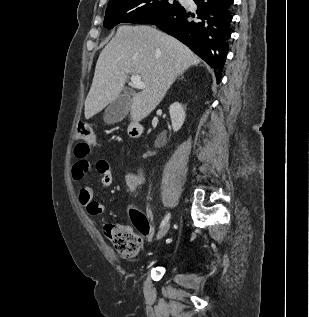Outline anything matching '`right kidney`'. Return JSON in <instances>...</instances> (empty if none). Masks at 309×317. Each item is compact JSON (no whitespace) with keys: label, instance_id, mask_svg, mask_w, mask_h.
Returning a JSON list of instances; mask_svg holds the SVG:
<instances>
[{"label":"right kidney","instance_id":"1","mask_svg":"<svg viewBox=\"0 0 309 317\" xmlns=\"http://www.w3.org/2000/svg\"><path fill=\"white\" fill-rule=\"evenodd\" d=\"M169 113L171 117L172 128L175 132L179 131L185 121V111L183 106L175 102L170 105Z\"/></svg>","mask_w":309,"mask_h":317}]
</instances>
